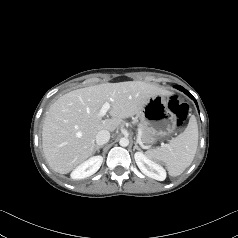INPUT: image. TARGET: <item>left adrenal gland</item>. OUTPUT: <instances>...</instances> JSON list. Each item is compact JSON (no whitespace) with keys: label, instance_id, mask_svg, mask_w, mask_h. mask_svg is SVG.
I'll use <instances>...</instances> for the list:
<instances>
[{"label":"left adrenal gland","instance_id":"1","mask_svg":"<svg viewBox=\"0 0 238 238\" xmlns=\"http://www.w3.org/2000/svg\"><path fill=\"white\" fill-rule=\"evenodd\" d=\"M135 149L141 150V148L138 146V143H137V142H135V146H134V149H133V150H135Z\"/></svg>","mask_w":238,"mask_h":238}]
</instances>
